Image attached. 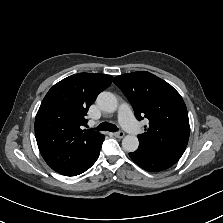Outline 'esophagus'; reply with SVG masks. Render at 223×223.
<instances>
[{
  "instance_id": "esophagus-1",
  "label": "esophagus",
  "mask_w": 223,
  "mask_h": 223,
  "mask_svg": "<svg viewBox=\"0 0 223 223\" xmlns=\"http://www.w3.org/2000/svg\"><path fill=\"white\" fill-rule=\"evenodd\" d=\"M113 135H114L116 138H123L125 134H124L123 131H118V132L113 133Z\"/></svg>"
}]
</instances>
